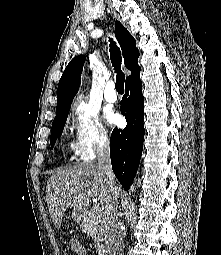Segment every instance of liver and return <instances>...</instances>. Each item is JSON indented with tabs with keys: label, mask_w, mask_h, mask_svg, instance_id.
I'll return each mask as SVG.
<instances>
[{
	"label": "liver",
	"mask_w": 221,
	"mask_h": 255,
	"mask_svg": "<svg viewBox=\"0 0 221 255\" xmlns=\"http://www.w3.org/2000/svg\"><path fill=\"white\" fill-rule=\"evenodd\" d=\"M118 190L117 183H109L97 164L80 163L56 170L46 187V201L53 224L60 228L68 208L86 210L91 200H97L102 208L111 200V189Z\"/></svg>",
	"instance_id": "obj_1"
}]
</instances>
